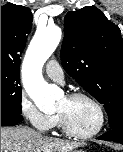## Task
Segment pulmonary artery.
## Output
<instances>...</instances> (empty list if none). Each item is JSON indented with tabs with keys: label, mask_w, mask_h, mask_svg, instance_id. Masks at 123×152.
Returning a JSON list of instances; mask_svg holds the SVG:
<instances>
[{
	"label": "pulmonary artery",
	"mask_w": 123,
	"mask_h": 152,
	"mask_svg": "<svg viewBox=\"0 0 123 152\" xmlns=\"http://www.w3.org/2000/svg\"><path fill=\"white\" fill-rule=\"evenodd\" d=\"M45 72L50 79L59 83H63L64 72L56 60L52 59L47 62L45 66Z\"/></svg>",
	"instance_id": "e3ab8cb5"
}]
</instances>
